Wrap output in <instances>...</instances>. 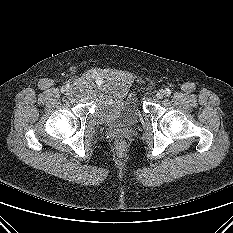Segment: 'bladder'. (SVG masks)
Masks as SVG:
<instances>
[{"label":"bladder","mask_w":233,"mask_h":233,"mask_svg":"<svg viewBox=\"0 0 233 233\" xmlns=\"http://www.w3.org/2000/svg\"><path fill=\"white\" fill-rule=\"evenodd\" d=\"M78 91L91 94L95 100L94 115L112 127H129L139 122L143 111L131 80L111 73L90 74L76 85Z\"/></svg>","instance_id":"bladder-1"}]
</instances>
